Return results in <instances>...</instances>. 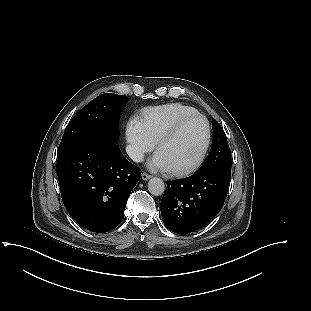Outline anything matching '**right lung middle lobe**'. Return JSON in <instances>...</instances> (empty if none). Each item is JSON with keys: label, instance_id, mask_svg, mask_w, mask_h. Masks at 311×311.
Listing matches in <instances>:
<instances>
[{"label": "right lung middle lobe", "instance_id": "right-lung-middle-lobe-1", "mask_svg": "<svg viewBox=\"0 0 311 311\" xmlns=\"http://www.w3.org/2000/svg\"><path fill=\"white\" fill-rule=\"evenodd\" d=\"M126 102V96L112 93L102 94L89 102L67 126L57 157L86 141L114 140L118 136L115 128Z\"/></svg>", "mask_w": 311, "mask_h": 311}]
</instances>
